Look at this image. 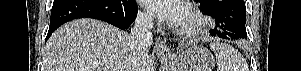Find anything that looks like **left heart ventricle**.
Wrapping results in <instances>:
<instances>
[{
    "label": "left heart ventricle",
    "instance_id": "b2bd125f",
    "mask_svg": "<svg viewBox=\"0 0 301 71\" xmlns=\"http://www.w3.org/2000/svg\"><path fill=\"white\" fill-rule=\"evenodd\" d=\"M188 15L186 16V19H185V23H184V25L188 22Z\"/></svg>",
    "mask_w": 301,
    "mask_h": 71
}]
</instances>
